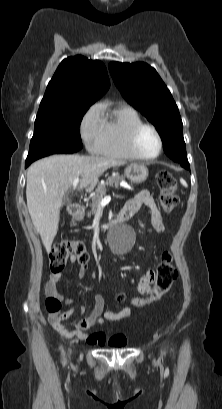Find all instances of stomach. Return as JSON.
Segmentation results:
<instances>
[{
  "label": "stomach",
  "mask_w": 222,
  "mask_h": 409,
  "mask_svg": "<svg viewBox=\"0 0 222 409\" xmlns=\"http://www.w3.org/2000/svg\"><path fill=\"white\" fill-rule=\"evenodd\" d=\"M148 169L142 164H131L125 168L124 174L125 177L130 180L132 183H140L147 179ZM76 220H81V215L74 216Z\"/></svg>",
  "instance_id": "obj_1"
}]
</instances>
